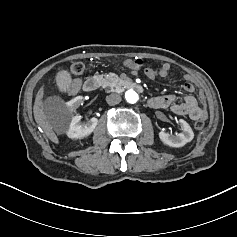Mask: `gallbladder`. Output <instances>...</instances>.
<instances>
[{
  "mask_svg": "<svg viewBox=\"0 0 237 237\" xmlns=\"http://www.w3.org/2000/svg\"><path fill=\"white\" fill-rule=\"evenodd\" d=\"M55 88L60 94H67L71 90L73 76L67 68H59L55 72Z\"/></svg>",
  "mask_w": 237,
  "mask_h": 237,
  "instance_id": "obj_1",
  "label": "gallbladder"
}]
</instances>
